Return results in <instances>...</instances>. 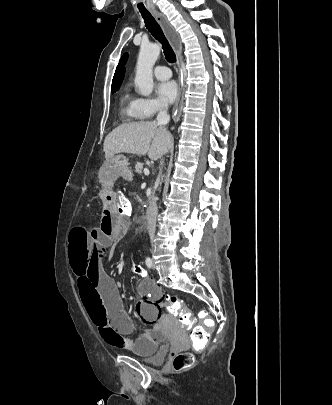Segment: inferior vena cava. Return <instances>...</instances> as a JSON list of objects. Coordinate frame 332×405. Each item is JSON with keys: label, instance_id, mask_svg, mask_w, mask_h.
Instances as JSON below:
<instances>
[{"label": "inferior vena cava", "instance_id": "602c4592", "mask_svg": "<svg viewBox=\"0 0 332 405\" xmlns=\"http://www.w3.org/2000/svg\"><path fill=\"white\" fill-rule=\"evenodd\" d=\"M170 121V115L168 114V104L166 102H161L159 105V113L157 115V124L161 126H165L168 124ZM161 165H163V160L160 162ZM161 175V171L159 173V176ZM159 177L157 179V184L159 183ZM158 214V208L156 205V202L153 201L151 205L148 208L147 212V219H148V224L150 226V229L153 231L155 228L156 224V218Z\"/></svg>", "mask_w": 332, "mask_h": 405}]
</instances>
